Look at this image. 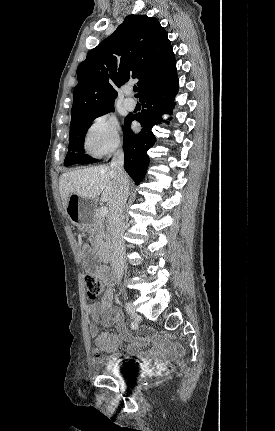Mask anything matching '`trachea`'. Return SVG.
<instances>
[{
	"label": "trachea",
	"instance_id": "3493384b",
	"mask_svg": "<svg viewBox=\"0 0 275 431\" xmlns=\"http://www.w3.org/2000/svg\"><path fill=\"white\" fill-rule=\"evenodd\" d=\"M133 91H134V92H136V91H137V87H134V88H133Z\"/></svg>",
	"mask_w": 275,
	"mask_h": 431
}]
</instances>
